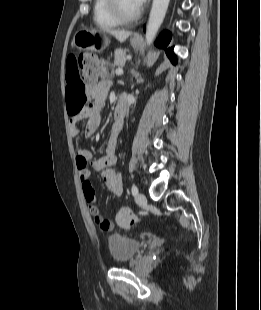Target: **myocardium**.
I'll list each match as a JSON object with an SVG mask.
<instances>
[{
	"instance_id": "obj_1",
	"label": "myocardium",
	"mask_w": 261,
	"mask_h": 310,
	"mask_svg": "<svg viewBox=\"0 0 261 310\" xmlns=\"http://www.w3.org/2000/svg\"><path fill=\"white\" fill-rule=\"evenodd\" d=\"M106 8L110 15L119 23H131L136 21L141 15V9L132 15H126L122 12L118 0H105Z\"/></svg>"
}]
</instances>
